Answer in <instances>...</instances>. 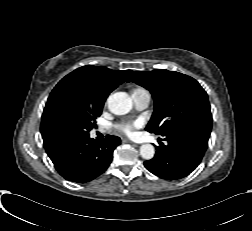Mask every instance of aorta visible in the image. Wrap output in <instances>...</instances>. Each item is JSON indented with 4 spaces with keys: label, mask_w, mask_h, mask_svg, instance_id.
I'll use <instances>...</instances> for the list:
<instances>
[{
    "label": "aorta",
    "mask_w": 252,
    "mask_h": 231,
    "mask_svg": "<svg viewBox=\"0 0 252 231\" xmlns=\"http://www.w3.org/2000/svg\"><path fill=\"white\" fill-rule=\"evenodd\" d=\"M108 109L116 115L127 114L132 108V100L125 92H116L108 97ZM155 148L152 144H143L140 147V155L145 160L154 157Z\"/></svg>",
    "instance_id": "aorta-1"
}]
</instances>
